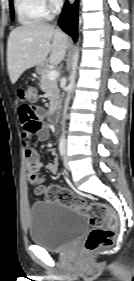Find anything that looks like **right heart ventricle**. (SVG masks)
<instances>
[{"label": "right heart ventricle", "instance_id": "e07e8e85", "mask_svg": "<svg viewBox=\"0 0 134 281\" xmlns=\"http://www.w3.org/2000/svg\"><path fill=\"white\" fill-rule=\"evenodd\" d=\"M14 2L18 19L22 24L37 23L48 17L43 0H14Z\"/></svg>", "mask_w": 134, "mask_h": 281}]
</instances>
